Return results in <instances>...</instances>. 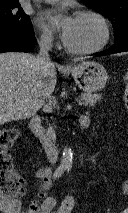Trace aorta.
Returning a JSON list of instances; mask_svg holds the SVG:
<instances>
[{
    "instance_id": "aorta-1",
    "label": "aorta",
    "mask_w": 128,
    "mask_h": 213,
    "mask_svg": "<svg viewBox=\"0 0 128 213\" xmlns=\"http://www.w3.org/2000/svg\"><path fill=\"white\" fill-rule=\"evenodd\" d=\"M73 162V152L71 148L65 147L62 151L61 163L62 168H71Z\"/></svg>"
}]
</instances>
